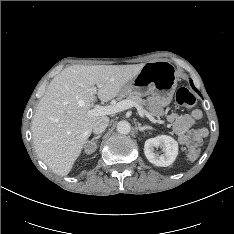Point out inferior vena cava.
Wrapping results in <instances>:
<instances>
[{
	"instance_id": "1",
	"label": "inferior vena cava",
	"mask_w": 234,
	"mask_h": 234,
	"mask_svg": "<svg viewBox=\"0 0 234 234\" xmlns=\"http://www.w3.org/2000/svg\"><path fill=\"white\" fill-rule=\"evenodd\" d=\"M109 124V118L106 116L100 117L93 125L92 130L94 134H100L107 128Z\"/></svg>"
}]
</instances>
